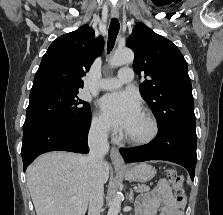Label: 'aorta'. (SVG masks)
I'll return each mask as SVG.
<instances>
[{
	"label": "aorta",
	"mask_w": 223,
	"mask_h": 215,
	"mask_svg": "<svg viewBox=\"0 0 223 215\" xmlns=\"http://www.w3.org/2000/svg\"><path fill=\"white\" fill-rule=\"evenodd\" d=\"M134 54L129 48H122V50H115L113 56L109 60V66L111 68H117V66H124V64H130L133 62ZM122 195L120 191L114 195L107 215H118L121 207Z\"/></svg>",
	"instance_id": "obj_1"
}]
</instances>
